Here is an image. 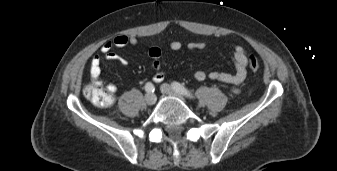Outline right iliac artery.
Masks as SVG:
<instances>
[{
	"instance_id": "1",
	"label": "right iliac artery",
	"mask_w": 337,
	"mask_h": 171,
	"mask_svg": "<svg viewBox=\"0 0 337 171\" xmlns=\"http://www.w3.org/2000/svg\"><path fill=\"white\" fill-rule=\"evenodd\" d=\"M145 90L148 93H153L155 91V87L151 82L146 83Z\"/></svg>"
}]
</instances>
